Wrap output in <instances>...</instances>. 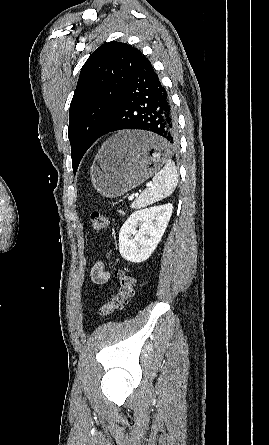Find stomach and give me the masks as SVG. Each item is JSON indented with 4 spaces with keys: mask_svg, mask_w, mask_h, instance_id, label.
Masks as SVG:
<instances>
[{
    "mask_svg": "<svg viewBox=\"0 0 269 445\" xmlns=\"http://www.w3.org/2000/svg\"><path fill=\"white\" fill-rule=\"evenodd\" d=\"M167 151V142L151 133L119 132L100 148L91 168L92 184L105 197H119L156 173Z\"/></svg>",
    "mask_w": 269,
    "mask_h": 445,
    "instance_id": "obj_1",
    "label": "stomach"
}]
</instances>
